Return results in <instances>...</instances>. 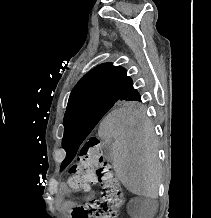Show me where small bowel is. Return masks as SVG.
<instances>
[{"mask_svg":"<svg viewBox=\"0 0 211 218\" xmlns=\"http://www.w3.org/2000/svg\"><path fill=\"white\" fill-rule=\"evenodd\" d=\"M69 197V190L66 186H62L60 193L58 194L56 198V202L59 206H61L63 209H71L73 207V202L70 200H67Z\"/></svg>","mask_w":211,"mask_h":218,"instance_id":"obj_1","label":"small bowel"}]
</instances>
